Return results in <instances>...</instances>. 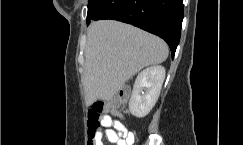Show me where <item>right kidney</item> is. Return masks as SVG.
Returning a JSON list of instances; mask_svg holds the SVG:
<instances>
[{
  "label": "right kidney",
  "instance_id": "right-kidney-1",
  "mask_svg": "<svg viewBox=\"0 0 243 145\" xmlns=\"http://www.w3.org/2000/svg\"><path fill=\"white\" fill-rule=\"evenodd\" d=\"M165 79L163 66H151L141 71L134 83L129 101V111L132 115L145 117L158 100Z\"/></svg>",
  "mask_w": 243,
  "mask_h": 145
}]
</instances>
